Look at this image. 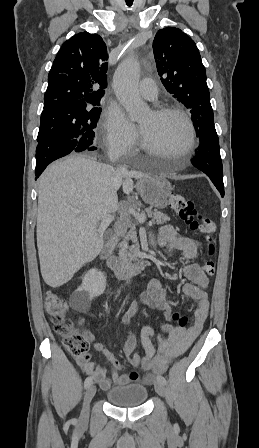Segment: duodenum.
Masks as SVG:
<instances>
[{"label": "duodenum", "instance_id": "1", "mask_svg": "<svg viewBox=\"0 0 259 448\" xmlns=\"http://www.w3.org/2000/svg\"><path fill=\"white\" fill-rule=\"evenodd\" d=\"M116 242L117 236L112 235L105 242L101 250L100 257L106 263L107 267L120 280H127L141 273L145 268V262L143 260L134 261L132 263H123L112 255Z\"/></svg>", "mask_w": 259, "mask_h": 448}]
</instances>
